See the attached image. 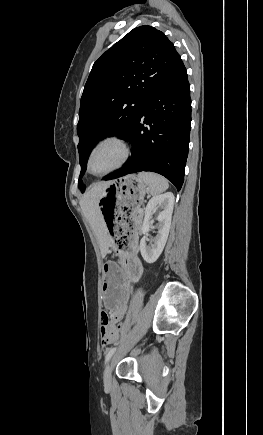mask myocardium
I'll return each mask as SVG.
<instances>
[{
	"label": "myocardium",
	"instance_id": "myocardium-1",
	"mask_svg": "<svg viewBox=\"0 0 263 435\" xmlns=\"http://www.w3.org/2000/svg\"><path fill=\"white\" fill-rule=\"evenodd\" d=\"M107 143H114L116 145H118L121 150H122V158L120 160V162L115 165L114 167H112L111 169L100 173V174H95L91 171L90 169V162H91V158L94 154V152L102 145L107 144ZM132 154V147L130 145V143L123 137L119 136V135H109L106 137H103L102 139H100L99 141H97L94 146L91 148L88 157H87V161H86V169L87 172L95 177H103L106 176L112 172L117 171L118 169L122 168L127 161L130 159Z\"/></svg>",
	"mask_w": 263,
	"mask_h": 435
}]
</instances>
